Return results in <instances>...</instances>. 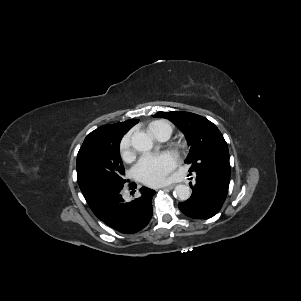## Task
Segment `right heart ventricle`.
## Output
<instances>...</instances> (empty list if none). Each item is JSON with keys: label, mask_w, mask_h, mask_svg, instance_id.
<instances>
[{"label": "right heart ventricle", "mask_w": 301, "mask_h": 301, "mask_svg": "<svg viewBox=\"0 0 301 301\" xmlns=\"http://www.w3.org/2000/svg\"><path fill=\"white\" fill-rule=\"evenodd\" d=\"M168 124L165 121H154L152 122L149 127H148V131L155 137L156 136V131L157 129L162 126V125H166ZM169 125V124H168Z\"/></svg>", "instance_id": "obj_1"}]
</instances>
